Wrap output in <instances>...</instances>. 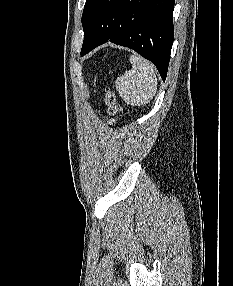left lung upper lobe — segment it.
<instances>
[{"label":"left lung upper lobe","mask_w":233,"mask_h":286,"mask_svg":"<svg viewBox=\"0 0 233 286\" xmlns=\"http://www.w3.org/2000/svg\"><path fill=\"white\" fill-rule=\"evenodd\" d=\"M95 0H86V3H85V7H84V10H83V15H82V25L84 27L86 21H87V18H88V15L90 13V10H91V7L93 5Z\"/></svg>","instance_id":"left-lung-upper-lobe-1"}]
</instances>
